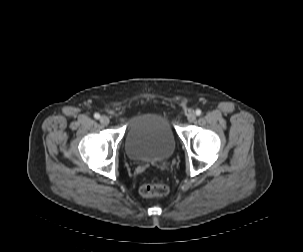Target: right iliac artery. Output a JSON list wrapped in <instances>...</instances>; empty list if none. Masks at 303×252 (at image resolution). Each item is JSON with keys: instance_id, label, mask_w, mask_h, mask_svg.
<instances>
[{"instance_id": "1", "label": "right iliac artery", "mask_w": 303, "mask_h": 252, "mask_svg": "<svg viewBox=\"0 0 303 252\" xmlns=\"http://www.w3.org/2000/svg\"><path fill=\"white\" fill-rule=\"evenodd\" d=\"M94 117H95L96 119H99V118H100V115H99L98 113H95V114H94Z\"/></svg>"}]
</instances>
